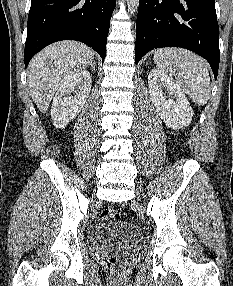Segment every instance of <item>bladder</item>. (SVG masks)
I'll list each match as a JSON object with an SVG mask.
<instances>
[{
  "instance_id": "obj_1",
  "label": "bladder",
  "mask_w": 233,
  "mask_h": 286,
  "mask_svg": "<svg viewBox=\"0 0 233 286\" xmlns=\"http://www.w3.org/2000/svg\"><path fill=\"white\" fill-rule=\"evenodd\" d=\"M94 239L96 242L120 239L131 245H135L140 240V234L132 225L117 221H104L98 225Z\"/></svg>"
}]
</instances>
